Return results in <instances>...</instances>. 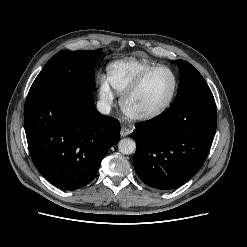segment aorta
Masks as SVG:
<instances>
[{
	"instance_id": "aorta-1",
	"label": "aorta",
	"mask_w": 247,
	"mask_h": 247,
	"mask_svg": "<svg viewBox=\"0 0 247 247\" xmlns=\"http://www.w3.org/2000/svg\"><path fill=\"white\" fill-rule=\"evenodd\" d=\"M118 149L122 154L129 155L135 152L136 143L133 139L124 138L119 141Z\"/></svg>"
}]
</instances>
